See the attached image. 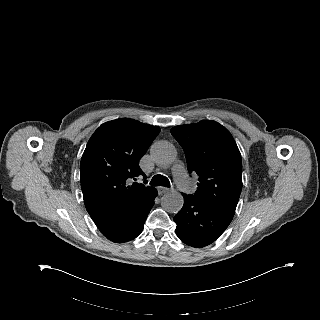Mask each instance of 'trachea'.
<instances>
[{
	"label": "trachea",
	"mask_w": 320,
	"mask_h": 320,
	"mask_svg": "<svg viewBox=\"0 0 320 320\" xmlns=\"http://www.w3.org/2000/svg\"><path fill=\"white\" fill-rule=\"evenodd\" d=\"M151 186H165L170 187V181L167 177L163 175H155L150 181Z\"/></svg>",
	"instance_id": "obj_1"
}]
</instances>
